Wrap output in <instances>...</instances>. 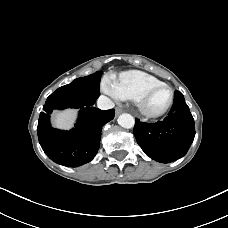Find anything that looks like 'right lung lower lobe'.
Instances as JSON below:
<instances>
[{
    "mask_svg": "<svg viewBox=\"0 0 228 228\" xmlns=\"http://www.w3.org/2000/svg\"><path fill=\"white\" fill-rule=\"evenodd\" d=\"M78 108L79 118L69 131L54 129L50 114L54 109ZM40 113L37 133L45 154L54 162L77 167L90 162L96 155L102 127L114 118V109L100 110L72 98L51 94Z\"/></svg>",
    "mask_w": 228,
    "mask_h": 228,
    "instance_id": "obj_1",
    "label": "right lung lower lobe"
}]
</instances>
